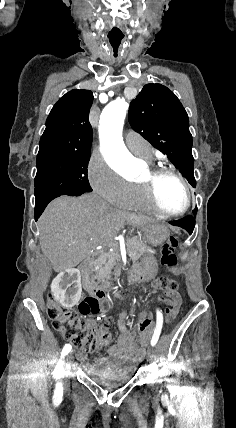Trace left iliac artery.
<instances>
[{"mask_svg":"<svg viewBox=\"0 0 236 428\" xmlns=\"http://www.w3.org/2000/svg\"><path fill=\"white\" fill-rule=\"evenodd\" d=\"M162 325H163V316L162 313L160 311H157V324H156V328L154 330V334L151 340V345L154 346L160 336L161 333V329H162Z\"/></svg>","mask_w":236,"mask_h":428,"instance_id":"44dca946","label":"left iliac artery"}]
</instances>
